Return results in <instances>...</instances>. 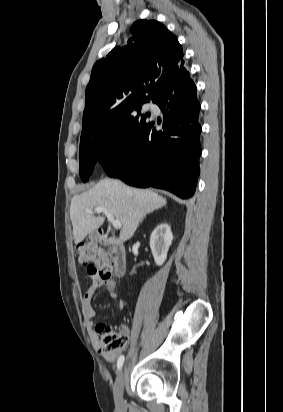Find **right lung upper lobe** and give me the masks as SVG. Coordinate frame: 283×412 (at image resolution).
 I'll use <instances>...</instances> for the list:
<instances>
[{
  "label": "right lung upper lobe",
  "instance_id": "cb5924a9",
  "mask_svg": "<svg viewBox=\"0 0 283 412\" xmlns=\"http://www.w3.org/2000/svg\"><path fill=\"white\" fill-rule=\"evenodd\" d=\"M128 45L95 63L86 88L81 139L106 132L173 82L190 77L176 37L155 20H138Z\"/></svg>",
  "mask_w": 283,
  "mask_h": 412
}]
</instances>
